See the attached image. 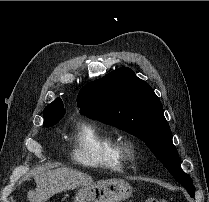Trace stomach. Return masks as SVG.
<instances>
[{
  "instance_id": "1",
  "label": "stomach",
  "mask_w": 209,
  "mask_h": 202,
  "mask_svg": "<svg viewBox=\"0 0 209 202\" xmlns=\"http://www.w3.org/2000/svg\"><path fill=\"white\" fill-rule=\"evenodd\" d=\"M131 195L129 183L121 179H109L81 187L74 202H122Z\"/></svg>"
}]
</instances>
